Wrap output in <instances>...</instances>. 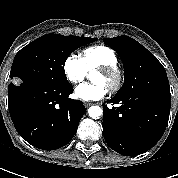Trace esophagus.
I'll return each mask as SVG.
<instances>
[{"instance_id":"esophagus-1","label":"esophagus","mask_w":178,"mask_h":178,"mask_svg":"<svg viewBox=\"0 0 178 178\" xmlns=\"http://www.w3.org/2000/svg\"><path fill=\"white\" fill-rule=\"evenodd\" d=\"M92 105V103H90V102H84V106L87 108V107H89V106H91Z\"/></svg>"}]
</instances>
